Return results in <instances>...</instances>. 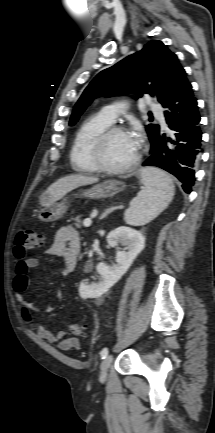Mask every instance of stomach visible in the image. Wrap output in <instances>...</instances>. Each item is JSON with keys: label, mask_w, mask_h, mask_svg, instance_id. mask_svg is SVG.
<instances>
[{"label": "stomach", "mask_w": 215, "mask_h": 433, "mask_svg": "<svg viewBox=\"0 0 215 433\" xmlns=\"http://www.w3.org/2000/svg\"><path fill=\"white\" fill-rule=\"evenodd\" d=\"M124 188L123 184L119 181L111 180L97 184L89 189L82 191L80 197L90 199H103L114 196ZM40 202L44 209L39 214V219L43 222L56 221L63 217L68 210L66 200L57 203L51 198L50 193L47 191L41 195Z\"/></svg>", "instance_id": "1"}]
</instances>
